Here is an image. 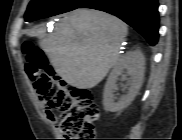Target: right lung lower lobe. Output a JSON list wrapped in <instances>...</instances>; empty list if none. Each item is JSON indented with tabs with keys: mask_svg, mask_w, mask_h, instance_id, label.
Returning <instances> with one entry per match:
<instances>
[{
	"mask_svg": "<svg viewBox=\"0 0 182 140\" xmlns=\"http://www.w3.org/2000/svg\"><path fill=\"white\" fill-rule=\"evenodd\" d=\"M79 8H91L113 14L142 34L151 46L159 37L157 0H87Z\"/></svg>",
	"mask_w": 182,
	"mask_h": 140,
	"instance_id": "right-lung-lower-lobe-1",
	"label": "right lung lower lobe"
}]
</instances>
